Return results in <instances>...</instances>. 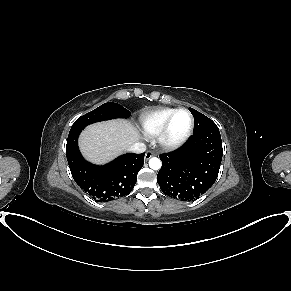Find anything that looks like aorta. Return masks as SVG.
<instances>
[{
  "instance_id": "aorta-1",
  "label": "aorta",
  "mask_w": 291,
  "mask_h": 291,
  "mask_svg": "<svg viewBox=\"0 0 291 291\" xmlns=\"http://www.w3.org/2000/svg\"><path fill=\"white\" fill-rule=\"evenodd\" d=\"M149 167L153 170H159L161 168V161L156 157H152L149 160Z\"/></svg>"
}]
</instances>
